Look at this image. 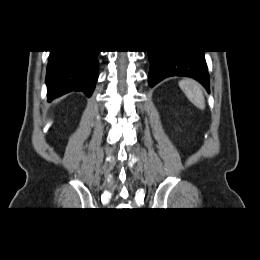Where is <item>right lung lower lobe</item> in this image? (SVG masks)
Masks as SVG:
<instances>
[{
    "label": "right lung lower lobe",
    "instance_id": "obj_1",
    "mask_svg": "<svg viewBox=\"0 0 260 260\" xmlns=\"http://www.w3.org/2000/svg\"><path fill=\"white\" fill-rule=\"evenodd\" d=\"M46 84L49 100L70 91L90 97L98 79V51H50Z\"/></svg>",
    "mask_w": 260,
    "mask_h": 260
}]
</instances>
